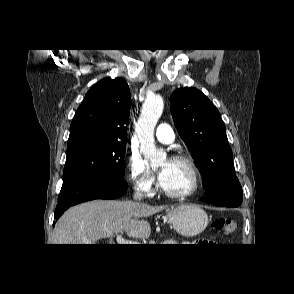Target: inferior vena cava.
I'll return each instance as SVG.
<instances>
[{"mask_svg":"<svg viewBox=\"0 0 294 294\" xmlns=\"http://www.w3.org/2000/svg\"><path fill=\"white\" fill-rule=\"evenodd\" d=\"M143 196L144 195H143L142 191L139 188H137L136 191L134 192L133 198H134V200L141 201L143 199Z\"/></svg>","mask_w":294,"mask_h":294,"instance_id":"602c4592","label":"inferior vena cava"}]
</instances>
